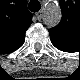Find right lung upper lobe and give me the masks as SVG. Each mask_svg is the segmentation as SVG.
<instances>
[{
  "label": "right lung upper lobe",
  "mask_w": 80,
  "mask_h": 80,
  "mask_svg": "<svg viewBox=\"0 0 80 80\" xmlns=\"http://www.w3.org/2000/svg\"><path fill=\"white\" fill-rule=\"evenodd\" d=\"M31 17L25 2H12L0 16V46L10 50L20 47L32 23Z\"/></svg>",
  "instance_id": "cb5924a9"
}]
</instances>
